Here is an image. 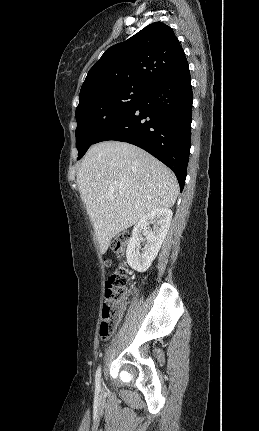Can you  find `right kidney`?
Segmentation results:
<instances>
[{
  "mask_svg": "<svg viewBox=\"0 0 259 431\" xmlns=\"http://www.w3.org/2000/svg\"><path fill=\"white\" fill-rule=\"evenodd\" d=\"M172 211L169 208H160L144 215L134 226L126 250L127 262L138 272H145L157 256L161 245L169 230ZM153 224V229L149 225ZM145 235V245L140 253L137 247Z\"/></svg>",
  "mask_w": 259,
  "mask_h": 431,
  "instance_id": "1",
  "label": "right kidney"
}]
</instances>
